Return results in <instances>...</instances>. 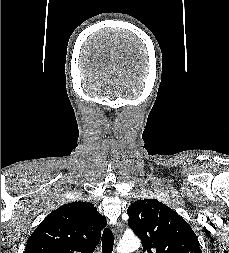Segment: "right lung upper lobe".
Listing matches in <instances>:
<instances>
[{
    "instance_id": "obj_1",
    "label": "right lung upper lobe",
    "mask_w": 229,
    "mask_h": 253,
    "mask_svg": "<svg viewBox=\"0 0 229 253\" xmlns=\"http://www.w3.org/2000/svg\"><path fill=\"white\" fill-rule=\"evenodd\" d=\"M105 226V217L92 203L65 204L40 223L24 253H93Z\"/></svg>"
}]
</instances>
